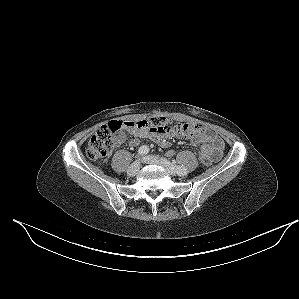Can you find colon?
I'll return each mask as SVG.
<instances>
[{
  "instance_id": "colon-1",
  "label": "colon",
  "mask_w": 299,
  "mask_h": 299,
  "mask_svg": "<svg viewBox=\"0 0 299 299\" xmlns=\"http://www.w3.org/2000/svg\"><path fill=\"white\" fill-rule=\"evenodd\" d=\"M200 127L201 125L198 123L173 125L167 118L161 116H155L138 122L113 120L101 126L91 137L87 145L86 154L94 161L105 159L115 145L116 135L123 128L148 129L158 133L189 137L193 132L199 130ZM200 160L205 166L212 163L202 148L200 151Z\"/></svg>"
}]
</instances>
